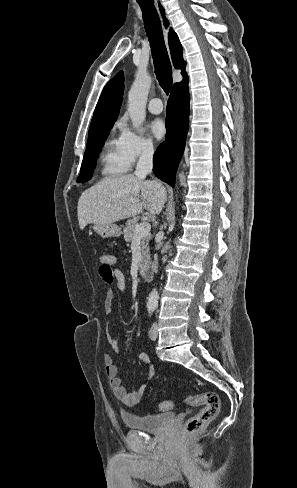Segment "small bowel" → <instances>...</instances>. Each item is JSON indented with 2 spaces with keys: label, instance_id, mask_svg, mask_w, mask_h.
Masks as SVG:
<instances>
[{
  "label": "small bowel",
  "instance_id": "c3829d8e",
  "mask_svg": "<svg viewBox=\"0 0 297 488\" xmlns=\"http://www.w3.org/2000/svg\"><path fill=\"white\" fill-rule=\"evenodd\" d=\"M111 257L110 266L116 262V257L112 254H109ZM102 279V278H101ZM103 280V279H102ZM104 281V280H103ZM106 283V282H105ZM108 284H112L115 287V290L122 291L126 287V280L124 274L118 270L112 268V281ZM115 290L109 289L105 299V308L107 312H110L115 300ZM109 341L112 345L113 351L118 353V340L117 338L110 334ZM138 361L142 364L149 365L147 371V380L140 386L137 391L129 392L126 387L122 384L120 377L118 376V366L114 362L113 356L111 354L104 355V365H105V373L107 375L110 388L112 389L114 395L117 399L122 401L127 406H134L137 405L147 388L148 381L152 379L156 373V367L151 364V360L148 354L141 353L137 357Z\"/></svg>",
  "mask_w": 297,
  "mask_h": 488
}]
</instances>
